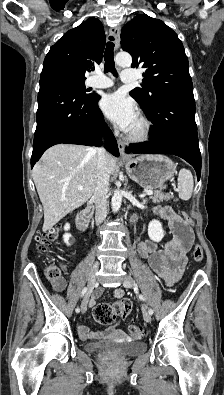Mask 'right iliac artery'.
Instances as JSON below:
<instances>
[{
    "mask_svg": "<svg viewBox=\"0 0 224 395\" xmlns=\"http://www.w3.org/2000/svg\"><path fill=\"white\" fill-rule=\"evenodd\" d=\"M87 291H88V287H85V288L82 290L81 296H82V297H83L84 295L86 296ZM84 298H85V297H84ZM75 311H76V313H79V312H80V308L77 307Z\"/></svg>",
    "mask_w": 224,
    "mask_h": 395,
    "instance_id": "82829eb1",
    "label": "right iliac artery"
}]
</instances>
